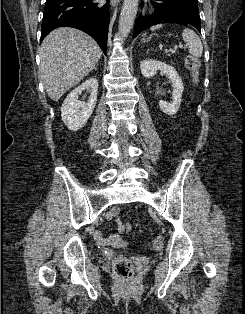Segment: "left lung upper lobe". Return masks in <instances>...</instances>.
<instances>
[{"label":"left lung upper lobe","mask_w":245,"mask_h":314,"mask_svg":"<svg viewBox=\"0 0 245 314\" xmlns=\"http://www.w3.org/2000/svg\"><path fill=\"white\" fill-rule=\"evenodd\" d=\"M174 5L180 6H190L198 10V0H170Z\"/></svg>","instance_id":"1"}]
</instances>
